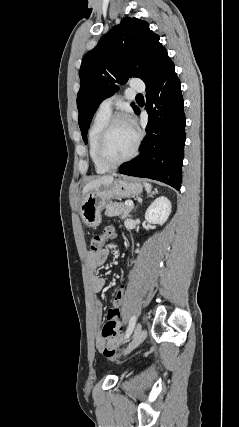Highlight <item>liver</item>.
<instances>
[{"instance_id":"1","label":"liver","mask_w":239,"mask_h":427,"mask_svg":"<svg viewBox=\"0 0 239 427\" xmlns=\"http://www.w3.org/2000/svg\"><path fill=\"white\" fill-rule=\"evenodd\" d=\"M113 180H114L113 176H102V177H99L95 180H92L84 186V188L82 190V195L85 196L90 191H92L96 188H99L102 185L103 186H109L112 184Z\"/></svg>"}]
</instances>
